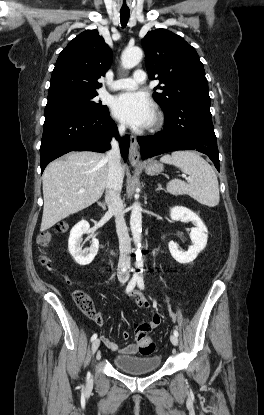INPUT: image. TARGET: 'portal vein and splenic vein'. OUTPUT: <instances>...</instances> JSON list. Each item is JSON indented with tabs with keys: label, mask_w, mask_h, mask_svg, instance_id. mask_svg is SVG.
<instances>
[{
	"label": "portal vein and splenic vein",
	"mask_w": 264,
	"mask_h": 415,
	"mask_svg": "<svg viewBox=\"0 0 264 415\" xmlns=\"http://www.w3.org/2000/svg\"><path fill=\"white\" fill-rule=\"evenodd\" d=\"M186 179H187L188 181H190V178H187V177H186ZM80 192H81V193H83V192H84V190H80Z\"/></svg>",
	"instance_id": "portal-vein-and-splenic-vein-1"
}]
</instances>
